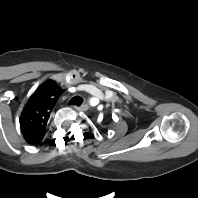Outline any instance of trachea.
Returning a JSON list of instances; mask_svg holds the SVG:
<instances>
[{
	"label": "trachea",
	"mask_w": 198,
	"mask_h": 198,
	"mask_svg": "<svg viewBox=\"0 0 198 198\" xmlns=\"http://www.w3.org/2000/svg\"><path fill=\"white\" fill-rule=\"evenodd\" d=\"M83 102V99L80 96H75L69 101V105L80 106Z\"/></svg>",
	"instance_id": "obj_1"
}]
</instances>
